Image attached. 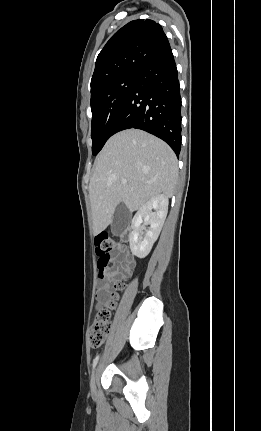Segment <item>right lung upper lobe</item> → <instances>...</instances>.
I'll return each mask as SVG.
<instances>
[{"instance_id":"1","label":"right lung upper lobe","mask_w":261,"mask_h":431,"mask_svg":"<svg viewBox=\"0 0 261 431\" xmlns=\"http://www.w3.org/2000/svg\"><path fill=\"white\" fill-rule=\"evenodd\" d=\"M170 48L162 27L153 20H134L119 29L99 53L91 91L125 74L139 73Z\"/></svg>"}]
</instances>
